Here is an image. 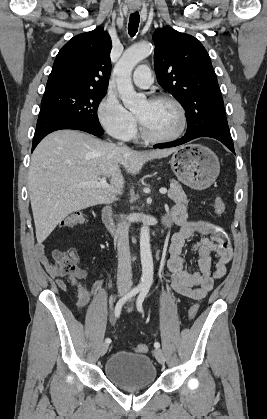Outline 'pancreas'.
Returning <instances> with one entry per match:
<instances>
[{
  "label": "pancreas",
  "mask_w": 267,
  "mask_h": 419,
  "mask_svg": "<svg viewBox=\"0 0 267 419\" xmlns=\"http://www.w3.org/2000/svg\"><path fill=\"white\" fill-rule=\"evenodd\" d=\"M168 197L175 203H188L187 196L182 186L176 180H171V188L168 191Z\"/></svg>",
  "instance_id": "obj_1"
}]
</instances>
